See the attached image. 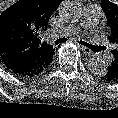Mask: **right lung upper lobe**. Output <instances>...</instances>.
Returning a JSON list of instances; mask_svg holds the SVG:
<instances>
[{
    "label": "right lung upper lobe",
    "instance_id": "1",
    "mask_svg": "<svg viewBox=\"0 0 118 118\" xmlns=\"http://www.w3.org/2000/svg\"><path fill=\"white\" fill-rule=\"evenodd\" d=\"M63 0H19L0 15V61L28 59L43 71L54 54L43 42L51 15Z\"/></svg>",
    "mask_w": 118,
    "mask_h": 118
}]
</instances>
